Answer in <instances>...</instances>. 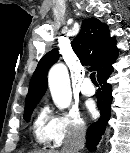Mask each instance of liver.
<instances>
[{
    "label": "liver",
    "instance_id": "obj_1",
    "mask_svg": "<svg viewBox=\"0 0 130 153\" xmlns=\"http://www.w3.org/2000/svg\"><path fill=\"white\" fill-rule=\"evenodd\" d=\"M36 153V152H35ZM38 153V152H37ZM49 153H57V152H49Z\"/></svg>",
    "mask_w": 130,
    "mask_h": 153
}]
</instances>
